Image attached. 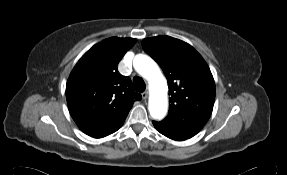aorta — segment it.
I'll list each match as a JSON object with an SVG mask.
<instances>
[{
	"instance_id": "762f6f07",
	"label": "aorta",
	"mask_w": 287,
	"mask_h": 175,
	"mask_svg": "<svg viewBox=\"0 0 287 175\" xmlns=\"http://www.w3.org/2000/svg\"><path fill=\"white\" fill-rule=\"evenodd\" d=\"M134 69L144 77L150 85L151 94L148 110L155 120L163 119L168 111V87L157 63L147 55L138 54L133 61Z\"/></svg>"
}]
</instances>
